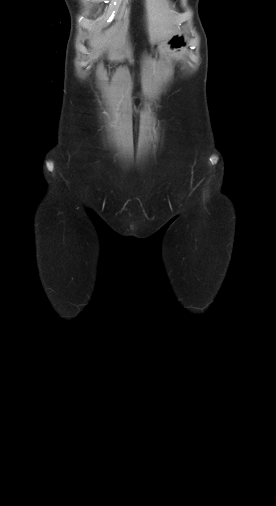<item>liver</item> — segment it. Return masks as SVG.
Instances as JSON below:
<instances>
[{"instance_id": "1", "label": "liver", "mask_w": 276, "mask_h": 506, "mask_svg": "<svg viewBox=\"0 0 276 506\" xmlns=\"http://www.w3.org/2000/svg\"><path fill=\"white\" fill-rule=\"evenodd\" d=\"M166 0H147V18L151 40L164 41L177 33L180 21L173 15ZM123 38L118 34L117 28H111L103 34L100 30L93 33L90 39V46L99 53L105 48L115 43L119 46Z\"/></svg>"}]
</instances>
